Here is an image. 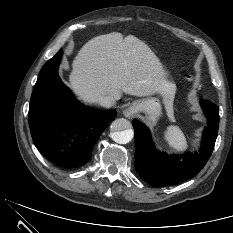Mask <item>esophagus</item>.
Here are the masks:
<instances>
[{"mask_svg":"<svg viewBox=\"0 0 233 233\" xmlns=\"http://www.w3.org/2000/svg\"><path fill=\"white\" fill-rule=\"evenodd\" d=\"M123 114L126 116V117H132L134 114H135V110L132 108V107H129L127 109H125L123 111Z\"/></svg>","mask_w":233,"mask_h":233,"instance_id":"obj_1","label":"esophagus"}]
</instances>
